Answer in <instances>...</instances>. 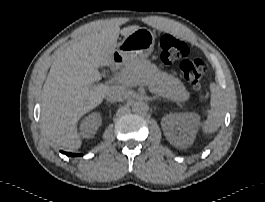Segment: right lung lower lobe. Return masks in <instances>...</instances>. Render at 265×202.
I'll return each mask as SVG.
<instances>
[{
	"label": "right lung lower lobe",
	"instance_id": "obj_1",
	"mask_svg": "<svg viewBox=\"0 0 265 202\" xmlns=\"http://www.w3.org/2000/svg\"><path fill=\"white\" fill-rule=\"evenodd\" d=\"M63 153L66 154L67 156H71V157L80 156V154H73V153H67V152H63Z\"/></svg>",
	"mask_w": 265,
	"mask_h": 202
}]
</instances>
